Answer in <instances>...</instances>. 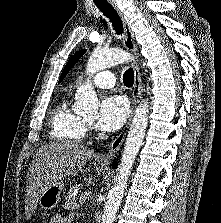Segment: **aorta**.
I'll return each instance as SVG.
<instances>
[{"label": "aorta", "instance_id": "aorta-1", "mask_svg": "<svg viewBox=\"0 0 221 223\" xmlns=\"http://www.w3.org/2000/svg\"><path fill=\"white\" fill-rule=\"evenodd\" d=\"M131 59L132 57L128 52L120 49H96L87 62L86 72L89 75H93L105 68L128 62ZM75 100L76 102L73 109L77 114H97L100 102L89 80L78 88L75 94ZM148 116V100H143L136 110L129 129L115 183L109 192L108 201L105 204L102 223H113L114 221L124 195L130 170L143 142L148 123Z\"/></svg>", "mask_w": 221, "mask_h": 223}]
</instances>
